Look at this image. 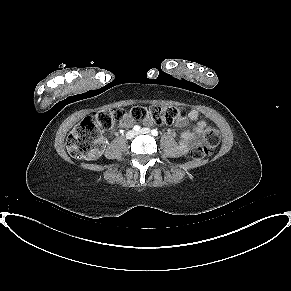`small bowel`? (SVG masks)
Segmentation results:
<instances>
[{
    "label": "small bowel",
    "instance_id": "c3829d8e",
    "mask_svg": "<svg viewBox=\"0 0 291 291\" xmlns=\"http://www.w3.org/2000/svg\"><path fill=\"white\" fill-rule=\"evenodd\" d=\"M187 119L194 122V128L192 131H186L181 133L179 144L182 150H187L193 146H197L203 143L204 133L206 124L203 120L200 119L199 113L196 110H192L187 114ZM133 123V120L126 116L119 123V126L122 128L130 127ZM186 123L185 119H179L176 121L178 126H184Z\"/></svg>",
    "mask_w": 291,
    "mask_h": 291
}]
</instances>
